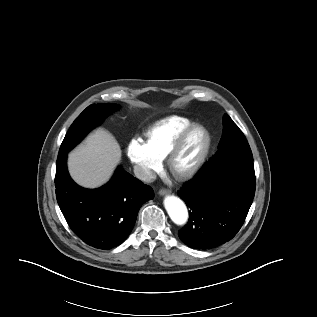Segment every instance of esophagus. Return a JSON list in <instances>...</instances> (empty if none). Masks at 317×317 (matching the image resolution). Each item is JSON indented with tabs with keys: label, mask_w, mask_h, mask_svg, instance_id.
I'll return each mask as SVG.
<instances>
[{
	"label": "esophagus",
	"mask_w": 317,
	"mask_h": 317,
	"mask_svg": "<svg viewBox=\"0 0 317 317\" xmlns=\"http://www.w3.org/2000/svg\"><path fill=\"white\" fill-rule=\"evenodd\" d=\"M159 195L163 196V195H167V194H170L171 193V190L170 189H160L159 190Z\"/></svg>",
	"instance_id": "esophagus-1"
}]
</instances>
